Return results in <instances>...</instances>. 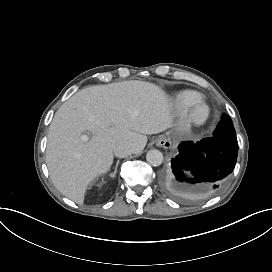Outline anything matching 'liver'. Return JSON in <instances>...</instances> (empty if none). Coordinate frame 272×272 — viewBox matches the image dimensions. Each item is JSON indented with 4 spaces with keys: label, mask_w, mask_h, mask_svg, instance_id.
<instances>
[{
    "label": "liver",
    "mask_w": 272,
    "mask_h": 272,
    "mask_svg": "<svg viewBox=\"0 0 272 272\" xmlns=\"http://www.w3.org/2000/svg\"><path fill=\"white\" fill-rule=\"evenodd\" d=\"M172 125L165 93L157 86L126 81L84 88L56 112L49 128L46 163L58 191L83 204L89 184L109 172L114 147L127 141L140 153L147 136ZM91 133L89 141L81 134Z\"/></svg>",
    "instance_id": "liver-1"
}]
</instances>
